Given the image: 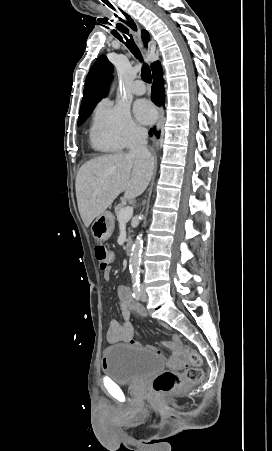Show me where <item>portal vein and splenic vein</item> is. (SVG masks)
I'll list each match as a JSON object with an SVG mask.
<instances>
[{
	"instance_id": "obj_1",
	"label": "portal vein and splenic vein",
	"mask_w": 272,
	"mask_h": 451,
	"mask_svg": "<svg viewBox=\"0 0 272 451\" xmlns=\"http://www.w3.org/2000/svg\"><path fill=\"white\" fill-rule=\"evenodd\" d=\"M133 216V208H130V206H127V208H124V210H120L117 220L119 224H127L129 222L130 218Z\"/></svg>"
}]
</instances>
